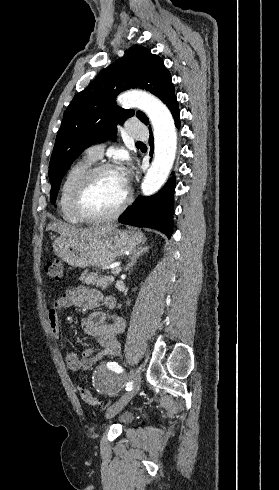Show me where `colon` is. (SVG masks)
<instances>
[{
  "label": "colon",
  "mask_w": 279,
  "mask_h": 490,
  "mask_svg": "<svg viewBox=\"0 0 279 490\" xmlns=\"http://www.w3.org/2000/svg\"><path fill=\"white\" fill-rule=\"evenodd\" d=\"M44 270L46 275L59 280L63 275V264L60 260H53L45 265ZM79 393L82 401L87 405L100 407V402L98 401L96 395L89 388L80 387Z\"/></svg>",
  "instance_id": "5ec220e1"
}]
</instances>
